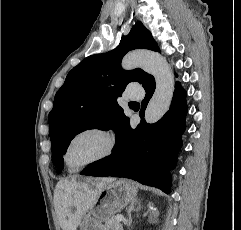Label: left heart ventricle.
I'll return each mask as SVG.
<instances>
[{"label":"left heart ventricle","mask_w":241,"mask_h":230,"mask_svg":"<svg viewBox=\"0 0 241 230\" xmlns=\"http://www.w3.org/2000/svg\"><path fill=\"white\" fill-rule=\"evenodd\" d=\"M107 147L106 139L98 133H85L75 138L68 150L67 161L75 168L102 154Z\"/></svg>","instance_id":"1"}]
</instances>
